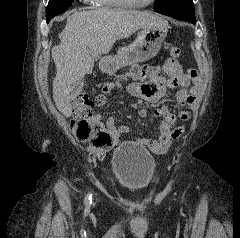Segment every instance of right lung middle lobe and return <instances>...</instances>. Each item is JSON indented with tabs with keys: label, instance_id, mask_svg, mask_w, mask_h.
Listing matches in <instances>:
<instances>
[{
	"label": "right lung middle lobe",
	"instance_id": "1",
	"mask_svg": "<svg viewBox=\"0 0 240 238\" xmlns=\"http://www.w3.org/2000/svg\"><path fill=\"white\" fill-rule=\"evenodd\" d=\"M74 0H49L47 10H46V19L47 23L56 15L65 11Z\"/></svg>",
	"mask_w": 240,
	"mask_h": 238
}]
</instances>
